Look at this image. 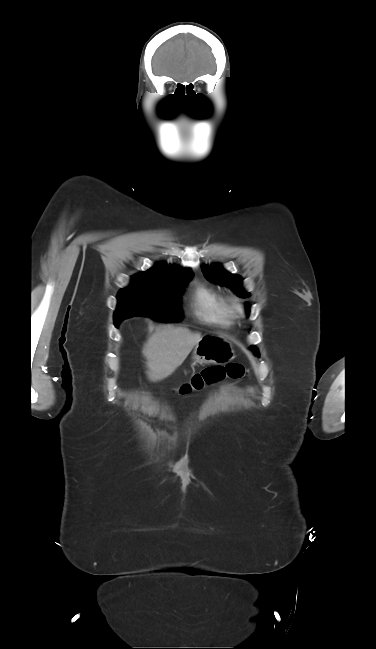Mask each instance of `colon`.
<instances>
[{
	"label": "colon",
	"instance_id": "5ec220e1",
	"mask_svg": "<svg viewBox=\"0 0 376 649\" xmlns=\"http://www.w3.org/2000/svg\"><path fill=\"white\" fill-rule=\"evenodd\" d=\"M246 376L247 371L240 363H229L225 366H209L193 374L188 381L176 389V392L179 395L186 396L225 379L241 380Z\"/></svg>",
	"mask_w": 376,
	"mask_h": 649
}]
</instances>
